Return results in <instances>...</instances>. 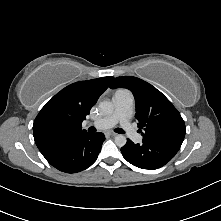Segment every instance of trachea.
<instances>
[{
    "label": "trachea",
    "mask_w": 221,
    "mask_h": 221,
    "mask_svg": "<svg viewBox=\"0 0 221 221\" xmlns=\"http://www.w3.org/2000/svg\"><path fill=\"white\" fill-rule=\"evenodd\" d=\"M114 131H115L116 133H119V134H124V133H125L124 130L121 129V128H116Z\"/></svg>",
    "instance_id": "3493384b"
}]
</instances>
